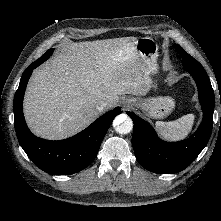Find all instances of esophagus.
Segmentation results:
<instances>
[{"label":"esophagus","instance_id":"1","mask_svg":"<svg viewBox=\"0 0 221 221\" xmlns=\"http://www.w3.org/2000/svg\"><path fill=\"white\" fill-rule=\"evenodd\" d=\"M123 104H124L125 107H128V106H129V103H128L127 101H124Z\"/></svg>","mask_w":221,"mask_h":221}]
</instances>
